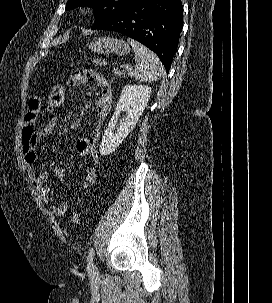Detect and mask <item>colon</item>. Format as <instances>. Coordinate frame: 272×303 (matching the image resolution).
I'll list each match as a JSON object with an SVG mask.
<instances>
[{
	"label": "colon",
	"mask_w": 272,
	"mask_h": 303,
	"mask_svg": "<svg viewBox=\"0 0 272 303\" xmlns=\"http://www.w3.org/2000/svg\"><path fill=\"white\" fill-rule=\"evenodd\" d=\"M93 63L98 68H105L107 67V61L102 57H97L93 59ZM111 73L114 77L120 78L122 76V70L118 67H113L111 69ZM64 101V88L61 84L56 83L53 85L49 98H48V110L51 113V116L47 119V121L44 123V127L49 129H55L56 125V118L54 114L58 111V109L61 107L62 103ZM72 221L74 223H80L82 221V216L74 212L72 214Z\"/></svg>",
	"instance_id": "obj_1"
}]
</instances>
